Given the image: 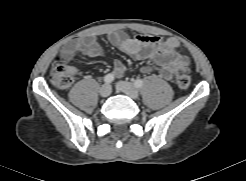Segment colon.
Masks as SVG:
<instances>
[{
  "label": "colon",
  "mask_w": 246,
  "mask_h": 181,
  "mask_svg": "<svg viewBox=\"0 0 246 181\" xmlns=\"http://www.w3.org/2000/svg\"><path fill=\"white\" fill-rule=\"evenodd\" d=\"M75 70L57 58L49 74L50 82L57 88H67L74 81ZM176 83L180 88H188L191 83V70L187 65L180 66L176 70Z\"/></svg>",
  "instance_id": "obj_1"
}]
</instances>
